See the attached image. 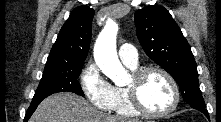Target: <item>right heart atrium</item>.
<instances>
[{
  "label": "right heart atrium",
  "mask_w": 221,
  "mask_h": 122,
  "mask_svg": "<svg viewBox=\"0 0 221 122\" xmlns=\"http://www.w3.org/2000/svg\"><path fill=\"white\" fill-rule=\"evenodd\" d=\"M80 85L87 99L100 109H108L112 85L102 76L97 65L89 61L80 73Z\"/></svg>",
  "instance_id": "1"
}]
</instances>
